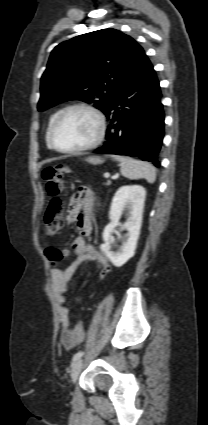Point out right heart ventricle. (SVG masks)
<instances>
[{
  "mask_svg": "<svg viewBox=\"0 0 208 425\" xmlns=\"http://www.w3.org/2000/svg\"><path fill=\"white\" fill-rule=\"evenodd\" d=\"M57 114L58 113L56 112L50 117V119L48 121L47 129H46V143H47L49 148H51V146L49 144V131H50L51 124H52V122H53V120H54V118L56 117Z\"/></svg>",
  "mask_w": 208,
  "mask_h": 425,
  "instance_id": "right-heart-ventricle-1",
  "label": "right heart ventricle"
}]
</instances>
